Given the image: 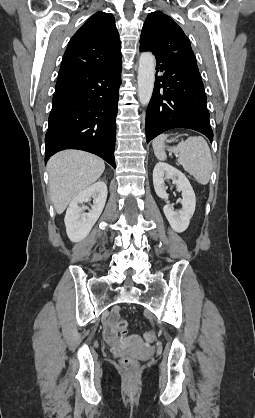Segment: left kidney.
Returning a JSON list of instances; mask_svg holds the SVG:
<instances>
[{"mask_svg": "<svg viewBox=\"0 0 255 418\" xmlns=\"http://www.w3.org/2000/svg\"><path fill=\"white\" fill-rule=\"evenodd\" d=\"M165 179H171L173 183L177 184L178 189L182 191V209L180 211L175 212L169 204H166L163 208L172 229L181 233L188 228L190 219L194 214L196 206L195 193L189 180L181 171L167 163L159 162L153 170V184L156 194L164 200H168L164 184Z\"/></svg>", "mask_w": 255, "mask_h": 418, "instance_id": "obj_1", "label": "left kidney"}]
</instances>
